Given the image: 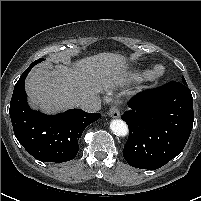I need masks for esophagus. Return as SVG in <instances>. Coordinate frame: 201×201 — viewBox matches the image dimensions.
Returning a JSON list of instances; mask_svg holds the SVG:
<instances>
[{
	"label": "esophagus",
	"instance_id": "esophagus-1",
	"mask_svg": "<svg viewBox=\"0 0 201 201\" xmlns=\"http://www.w3.org/2000/svg\"><path fill=\"white\" fill-rule=\"evenodd\" d=\"M109 116L112 118H119L120 117V111L117 105H112L109 109Z\"/></svg>",
	"mask_w": 201,
	"mask_h": 201
}]
</instances>
